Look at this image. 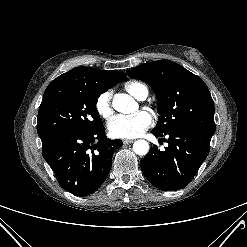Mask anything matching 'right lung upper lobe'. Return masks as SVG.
Segmentation results:
<instances>
[{
	"instance_id": "right-lung-upper-lobe-1",
	"label": "right lung upper lobe",
	"mask_w": 247,
	"mask_h": 247,
	"mask_svg": "<svg viewBox=\"0 0 247 247\" xmlns=\"http://www.w3.org/2000/svg\"><path fill=\"white\" fill-rule=\"evenodd\" d=\"M124 81H127V77L120 71H103L90 67H78L53 80L46 88L44 95L69 84H95L108 90Z\"/></svg>"
}]
</instances>
